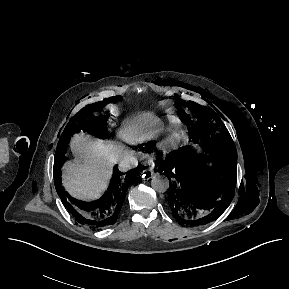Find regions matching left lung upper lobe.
I'll return each instance as SVG.
<instances>
[{
    "mask_svg": "<svg viewBox=\"0 0 289 289\" xmlns=\"http://www.w3.org/2000/svg\"><path fill=\"white\" fill-rule=\"evenodd\" d=\"M179 117L193 142L199 138L211 145L219 167L227 168L237 161V151L227 128L220 117L210 108L178 98L175 102Z\"/></svg>",
    "mask_w": 289,
    "mask_h": 289,
    "instance_id": "obj_1",
    "label": "left lung upper lobe"
}]
</instances>
